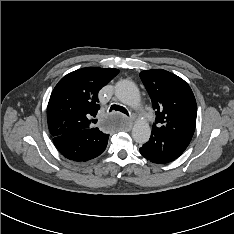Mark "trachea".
I'll use <instances>...</instances> for the list:
<instances>
[{
	"mask_svg": "<svg viewBox=\"0 0 234 234\" xmlns=\"http://www.w3.org/2000/svg\"><path fill=\"white\" fill-rule=\"evenodd\" d=\"M112 110L122 112V113L126 114L127 116H129L128 111L124 107H122V106L114 104V105H112L110 107L109 111L111 112Z\"/></svg>",
	"mask_w": 234,
	"mask_h": 234,
	"instance_id": "1",
	"label": "trachea"
}]
</instances>
